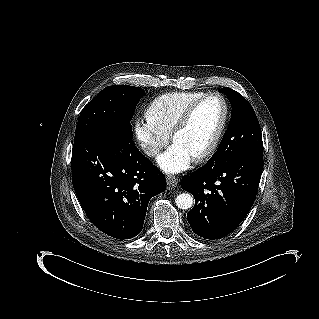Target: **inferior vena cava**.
Returning <instances> with one entry per match:
<instances>
[{
  "instance_id": "602c4592",
  "label": "inferior vena cava",
  "mask_w": 319,
  "mask_h": 319,
  "mask_svg": "<svg viewBox=\"0 0 319 319\" xmlns=\"http://www.w3.org/2000/svg\"><path fill=\"white\" fill-rule=\"evenodd\" d=\"M142 149L148 156H155L160 152V148L157 145L153 144H143Z\"/></svg>"
}]
</instances>
